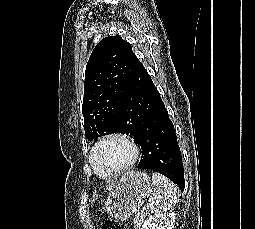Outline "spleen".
I'll use <instances>...</instances> for the list:
<instances>
[{
	"instance_id": "spleen-1",
	"label": "spleen",
	"mask_w": 255,
	"mask_h": 229,
	"mask_svg": "<svg viewBox=\"0 0 255 229\" xmlns=\"http://www.w3.org/2000/svg\"><path fill=\"white\" fill-rule=\"evenodd\" d=\"M154 186L153 196L149 199L147 209L154 213L172 209L177 202V188L164 175L154 172L152 174Z\"/></svg>"
}]
</instances>
